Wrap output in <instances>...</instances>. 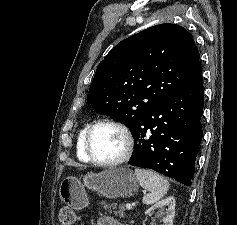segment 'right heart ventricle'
Instances as JSON below:
<instances>
[{
  "instance_id": "obj_1",
  "label": "right heart ventricle",
  "mask_w": 237,
  "mask_h": 225,
  "mask_svg": "<svg viewBox=\"0 0 237 225\" xmlns=\"http://www.w3.org/2000/svg\"><path fill=\"white\" fill-rule=\"evenodd\" d=\"M89 126H90L89 124H85L81 127V129L78 132L77 140H76V155H77V158L83 162H90L84 150L85 135Z\"/></svg>"
}]
</instances>
